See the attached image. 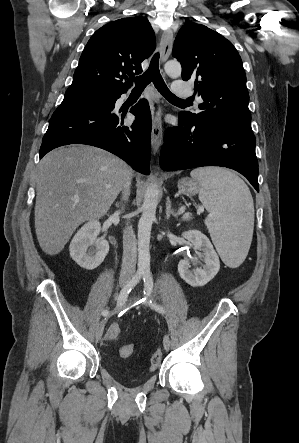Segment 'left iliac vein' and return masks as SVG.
Segmentation results:
<instances>
[{"instance_id": "4c4485c4", "label": "left iliac vein", "mask_w": 299, "mask_h": 443, "mask_svg": "<svg viewBox=\"0 0 299 443\" xmlns=\"http://www.w3.org/2000/svg\"><path fill=\"white\" fill-rule=\"evenodd\" d=\"M163 345H164L165 350L170 349L171 341H170V337L168 334H166L163 338Z\"/></svg>"}]
</instances>
